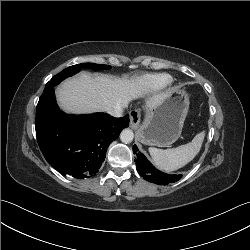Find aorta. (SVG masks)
Listing matches in <instances>:
<instances>
[{
  "label": "aorta",
  "mask_w": 250,
  "mask_h": 250,
  "mask_svg": "<svg viewBox=\"0 0 250 250\" xmlns=\"http://www.w3.org/2000/svg\"><path fill=\"white\" fill-rule=\"evenodd\" d=\"M134 134L130 129H124L120 134V139L123 143H131L133 141Z\"/></svg>",
  "instance_id": "762f6f07"
}]
</instances>
